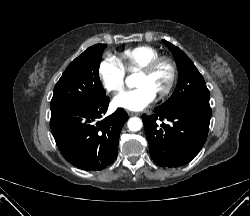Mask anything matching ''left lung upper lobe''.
Returning <instances> with one entry per match:
<instances>
[{
  "mask_svg": "<svg viewBox=\"0 0 250 216\" xmlns=\"http://www.w3.org/2000/svg\"><path fill=\"white\" fill-rule=\"evenodd\" d=\"M164 42L177 63L179 78L174 93L159 108L166 112L196 108L211 114L210 93L203 76L183 51L167 41Z\"/></svg>",
  "mask_w": 250,
  "mask_h": 216,
  "instance_id": "left-lung-upper-lobe-1",
  "label": "left lung upper lobe"
}]
</instances>
